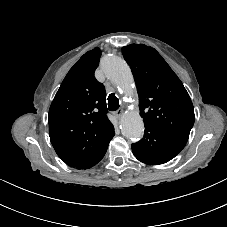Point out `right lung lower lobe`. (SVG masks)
I'll return each instance as SVG.
<instances>
[{
	"label": "right lung lower lobe",
	"mask_w": 227,
	"mask_h": 227,
	"mask_svg": "<svg viewBox=\"0 0 227 227\" xmlns=\"http://www.w3.org/2000/svg\"><path fill=\"white\" fill-rule=\"evenodd\" d=\"M114 135H115V132H113L112 137H113ZM112 137H111V139H112ZM106 150H107V148H106ZM106 150H105L104 152H102V153L99 155L98 158H96V159H94V160H92V161H89V162H87V163L81 164V165H79V166H76V168H77V169H88V168L94 166L95 164H97V163L103 158V156H104Z\"/></svg>",
	"instance_id": "right-lung-lower-lobe-1"
}]
</instances>
